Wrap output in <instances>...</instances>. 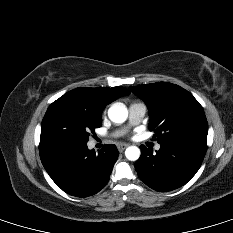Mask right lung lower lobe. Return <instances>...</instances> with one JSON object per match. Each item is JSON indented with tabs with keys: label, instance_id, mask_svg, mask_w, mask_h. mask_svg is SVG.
Returning <instances> with one entry per match:
<instances>
[{
	"label": "right lung lower lobe",
	"instance_id": "1",
	"mask_svg": "<svg viewBox=\"0 0 233 233\" xmlns=\"http://www.w3.org/2000/svg\"><path fill=\"white\" fill-rule=\"evenodd\" d=\"M42 164L64 192L87 197L99 192L108 182L118 158L115 145H105L98 153L86 143L66 140L40 141Z\"/></svg>",
	"mask_w": 233,
	"mask_h": 233
}]
</instances>
